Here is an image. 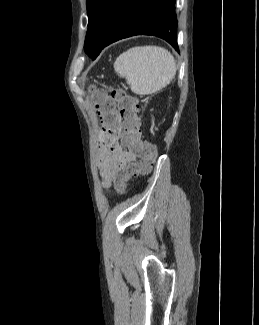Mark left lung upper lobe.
Segmentation results:
<instances>
[{"label":"left lung upper lobe","instance_id":"obj_1","mask_svg":"<svg viewBox=\"0 0 259 325\" xmlns=\"http://www.w3.org/2000/svg\"><path fill=\"white\" fill-rule=\"evenodd\" d=\"M122 1L87 0L89 22L84 49L93 60L102 50L105 31Z\"/></svg>","mask_w":259,"mask_h":325}]
</instances>
